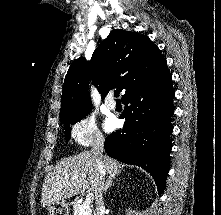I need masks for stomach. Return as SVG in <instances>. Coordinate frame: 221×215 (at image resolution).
<instances>
[{"mask_svg":"<svg viewBox=\"0 0 221 215\" xmlns=\"http://www.w3.org/2000/svg\"><path fill=\"white\" fill-rule=\"evenodd\" d=\"M49 215H69V205L66 201H58L47 205Z\"/></svg>","mask_w":221,"mask_h":215,"instance_id":"1","label":"stomach"}]
</instances>
